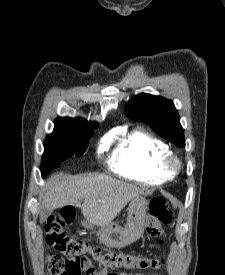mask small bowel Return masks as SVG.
Here are the masks:
<instances>
[{
	"instance_id": "c3829d8e",
	"label": "small bowel",
	"mask_w": 225,
	"mask_h": 275,
	"mask_svg": "<svg viewBox=\"0 0 225 275\" xmlns=\"http://www.w3.org/2000/svg\"><path fill=\"white\" fill-rule=\"evenodd\" d=\"M111 272L107 267H105L102 264H99L96 266V271L92 273V275H110ZM116 275H144L142 273H136V274H131V273H126V272H120V273H115ZM152 275H157V274H152Z\"/></svg>"
}]
</instances>
